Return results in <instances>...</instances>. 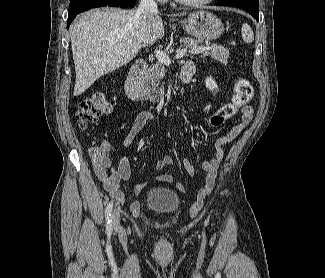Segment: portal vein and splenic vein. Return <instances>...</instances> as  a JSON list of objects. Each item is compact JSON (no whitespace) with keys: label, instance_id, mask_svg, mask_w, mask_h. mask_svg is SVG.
Segmentation results:
<instances>
[{"label":"portal vein and splenic vein","instance_id":"18ae733b","mask_svg":"<svg viewBox=\"0 0 325 278\" xmlns=\"http://www.w3.org/2000/svg\"><path fill=\"white\" fill-rule=\"evenodd\" d=\"M212 49H213V46L200 47V48H197V49H194V50H191V51H188L186 49H182L179 52H177L175 58L180 59L187 52H189L191 54H199V53H202L204 51H209V50H212ZM155 56H156L157 60L159 62H161L162 64H164L166 66H169L171 64V59L169 58V56L165 52H163L161 50H156L155 51Z\"/></svg>","mask_w":325,"mask_h":278}]
</instances>
